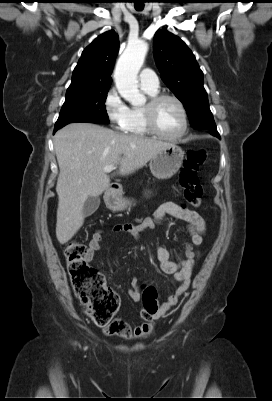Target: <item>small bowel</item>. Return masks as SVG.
I'll return each instance as SVG.
<instances>
[{"label": "small bowel", "instance_id": "small-bowel-1", "mask_svg": "<svg viewBox=\"0 0 272 401\" xmlns=\"http://www.w3.org/2000/svg\"><path fill=\"white\" fill-rule=\"evenodd\" d=\"M166 216H171L182 220L187 224L189 235V244L185 251L180 255L177 261L170 259V253L164 246H158L156 249L157 260L161 270L166 274L174 276L179 283L174 294L169 296L164 302L158 305L155 313L149 314L142 311L140 317L142 323L137 326H130L120 319H116L107 329L108 334L118 336L124 339H137L149 335L153 329V321L164 317L180 300L189 288L190 276L199 253L195 247H199L203 242L206 226L204 219L194 210L188 208L184 203L165 202L154 213L153 219H146L137 225L122 224L113 228L114 232L126 233L135 241L139 239L140 233L146 229H151L158 222H161ZM104 233L101 230L95 231L88 244L85 259L91 262L95 253L100 249V243ZM129 297L134 302L141 300V290L136 279H132L131 288L128 290Z\"/></svg>", "mask_w": 272, "mask_h": 401}]
</instances>
